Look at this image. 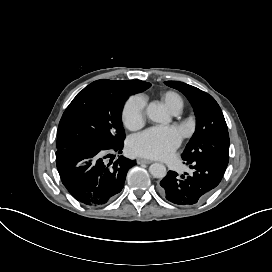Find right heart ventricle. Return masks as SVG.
<instances>
[{
    "mask_svg": "<svg viewBox=\"0 0 272 272\" xmlns=\"http://www.w3.org/2000/svg\"><path fill=\"white\" fill-rule=\"evenodd\" d=\"M163 99H164V101H165L167 107H168L172 112L176 111V109H177L178 107H181V108H182V100H181V98H180L177 94H175V93H173V92H168V93H166V94L164 95Z\"/></svg>",
    "mask_w": 272,
    "mask_h": 272,
    "instance_id": "e07e8e85",
    "label": "right heart ventricle"
}]
</instances>
